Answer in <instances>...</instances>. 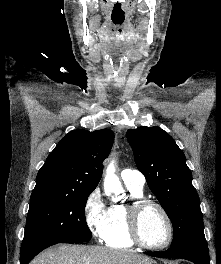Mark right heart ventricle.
<instances>
[{
  "label": "right heart ventricle",
  "mask_w": 221,
  "mask_h": 264,
  "mask_svg": "<svg viewBox=\"0 0 221 264\" xmlns=\"http://www.w3.org/2000/svg\"><path fill=\"white\" fill-rule=\"evenodd\" d=\"M130 193V199L143 197V190L132 185H127ZM127 204H114L109 208V215L105 234L102 238L103 242L112 248H130L134 245L130 239L127 223L126 209Z\"/></svg>",
  "instance_id": "e07e8e85"
}]
</instances>
